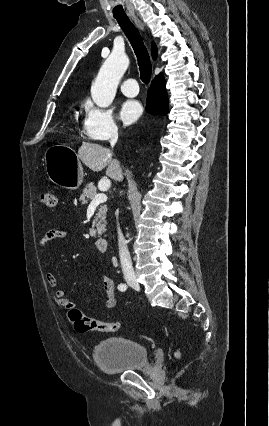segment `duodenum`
Here are the masks:
<instances>
[{
	"label": "duodenum",
	"mask_w": 269,
	"mask_h": 426,
	"mask_svg": "<svg viewBox=\"0 0 269 426\" xmlns=\"http://www.w3.org/2000/svg\"><path fill=\"white\" fill-rule=\"evenodd\" d=\"M96 247L97 249L102 252V253H106L108 251L109 248V241L106 238H99L96 241Z\"/></svg>",
	"instance_id": "1"
}]
</instances>
